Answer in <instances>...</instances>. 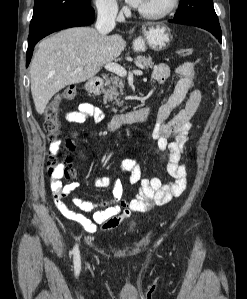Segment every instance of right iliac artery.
<instances>
[{
	"instance_id": "82829eb1",
	"label": "right iliac artery",
	"mask_w": 247,
	"mask_h": 299,
	"mask_svg": "<svg viewBox=\"0 0 247 299\" xmlns=\"http://www.w3.org/2000/svg\"><path fill=\"white\" fill-rule=\"evenodd\" d=\"M73 259H74V266H75V269L76 271H79L80 270V254H79V248H78V245H76L74 248H73Z\"/></svg>"
}]
</instances>
